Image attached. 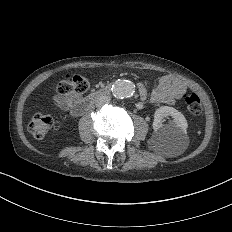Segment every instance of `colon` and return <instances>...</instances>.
Returning <instances> with one entry per match:
<instances>
[{"instance_id":"1","label":"colon","mask_w":232,"mask_h":232,"mask_svg":"<svg viewBox=\"0 0 232 232\" xmlns=\"http://www.w3.org/2000/svg\"><path fill=\"white\" fill-rule=\"evenodd\" d=\"M64 79L57 84V89L61 93H81L87 89H95V84H90L87 77H80L74 74H64ZM182 102H185L183 111H197V107H200L198 96L194 92L184 94L181 98ZM190 117H197V112H190ZM29 121H32L33 126H27V131H32L33 137H46L48 126L52 125L50 112H37V116H29Z\"/></svg>"}]
</instances>
